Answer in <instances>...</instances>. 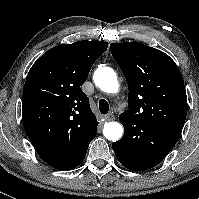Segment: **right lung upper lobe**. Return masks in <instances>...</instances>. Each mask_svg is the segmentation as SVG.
Masks as SVG:
<instances>
[{
    "mask_svg": "<svg viewBox=\"0 0 199 199\" xmlns=\"http://www.w3.org/2000/svg\"><path fill=\"white\" fill-rule=\"evenodd\" d=\"M107 46L102 41L60 44L31 67L23 89V125L45 161L68 164L96 136L98 122L80 86Z\"/></svg>",
    "mask_w": 199,
    "mask_h": 199,
    "instance_id": "cb5924a9",
    "label": "right lung upper lobe"
}]
</instances>
